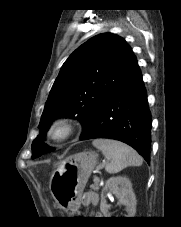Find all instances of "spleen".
<instances>
[{
    "label": "spleen",
    "mask_w": 181,
    "mask_h": 227,
    "mask_svg": "<svg viewBox=\"0 0 181 227\" xmlns=\"http://www.w3.org/2000/svg\"><path fill=\"white\" fill-rule=\"evenodd\" d=\"M93 146L101 150L104 157L110 162L106 165V171L115 174L128 166H141L142 157L130 146L110 139H96Z\"/></svg>",
    "instance_id": "3e777b00"
}]
</instances>
